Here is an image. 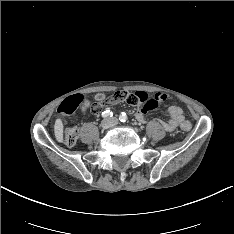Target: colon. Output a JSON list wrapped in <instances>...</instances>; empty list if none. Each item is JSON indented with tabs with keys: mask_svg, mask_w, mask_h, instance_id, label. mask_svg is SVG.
<instances>
[{
	"mask_svg": "<svg viewBox=\"0 0 234 234\" xmlns=\"http://www.w3.org/2000/svg\"><path fill=\"white\" fill-rule=\"evenodd\" d=\"M166 99V95L162 92H158L149 96L145 92L137 91V92H128V91H116L111 96L106 98L104 95H98L93 103L85 100L82 95H74L67 99H65L59 110L64 115H71L77 109L81 108L85 110L89 108L92 113L98 114L104 105L109 103H120L125 102L131 106H139L142 108H146L148 110L156 109L159 104ZM181 129L183 131H189L191 129V123L185 121L181 125ZM78 140V130L76 128H66L63 133V142L72 147L76 144Z\"/></svg>",
	"mask_w": 234,
	"mask_h": 234,
	"instance_id": "obj_1",
	"label": "colon"
}]
</instances>
